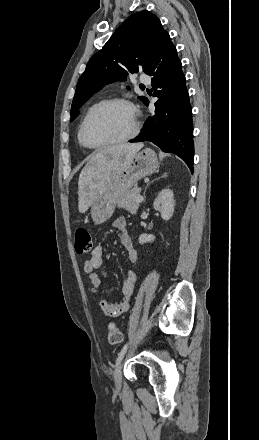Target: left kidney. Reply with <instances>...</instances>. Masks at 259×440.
Returning a JSON list of instances; mask_svg holds the SVG:
<instances>
[{
    "instance_id": "left-kidney-1",
    "label": "left kidney",
    "mask_w": 259,
    "mask_h": 440,
    "mask_svg": "<svg viewBox=\"0 0 259 440\" xmlns=\"http://www.w3.org/2000/svg\"><path fill=\"white\" fill-rule=\"evenodd\" d=\"M174 194L173 191L169 188H165L156 197L153 203V207L155 210L159 211L163 220L168 221L174 212ZM155 236L152 234H141L139 237V243H149L153 242Z\"/></svg>"
}]
</instances>
